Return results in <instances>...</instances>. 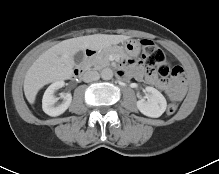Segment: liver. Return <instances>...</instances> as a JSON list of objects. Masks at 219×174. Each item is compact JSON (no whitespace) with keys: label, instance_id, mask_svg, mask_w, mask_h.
I'll use <instances>...</instances> for the list:
<instances>
[{"label":"liver","instance_id":"1","mask_svg":"<svg viewBox=\"0 0 219 174\" xmlns=\"http://www.w3.org/2000/svg\"><path fill=\"white\" fill-rule=\"evenodd\" d=\"M130 36L94 34L64 40L41 54L28 69L24 79V94L34 104L38 91L45 85L70 79L75 66L74 55L86 49L101 51L126 41Z\"/></svg>","mask_w":219,"mask_h":174}]
</instances>
